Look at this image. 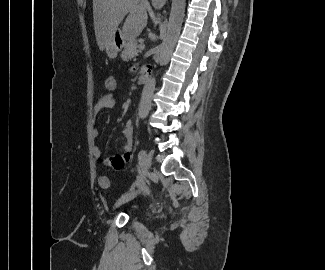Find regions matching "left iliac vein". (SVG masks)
I'll return each instance as SVG.
<instances>
[{"label": "left iliac vein", "instance_id": "1", "mask_svg": "<svg viewBox=\"0 0 325 270\" xmlns=\"http://www.w3.org/2000/svg\"><path fill=\"white\" fill-rule=\"evenodd\" d=\"M152 153L149 152L145 159H144V166L146 168V170L148 171L150 168H151V165H152ZM143 186H141L138 190H134V191H131L130 193L128 194H125L123 195L115 204V206H119L121 204H124L130 200H132L133 198H135L139 193L140 191L142 190Z\"/></svg>", "mask_w": 325, "mask_h": 270}]
</instances>
